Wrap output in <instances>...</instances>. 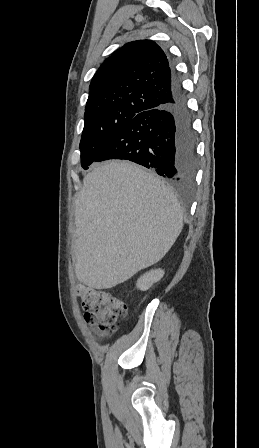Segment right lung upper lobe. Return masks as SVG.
Instances as JSON below:
<instances>
[{"instance_id":"1","label":"right lung upper lobe","mask_w":259,"mask_h":448,"mask_svg":"<svg viewBox=\"0 0 259 448\" xmlns=\"http://www.w3.org/2000/svg\"><path fill=\"white\" fill-rule=\"evenodd\" d=\"M172 84L167 56L155 42L127 43L94 75L85 114L144 112L160 107L171 101Z\"/></svg>"}]
</instances>
